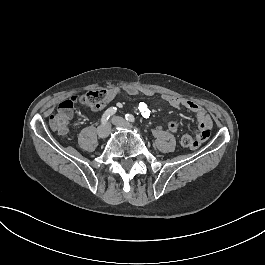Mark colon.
I'll use <instances>...</instances> for the list:
<instances>
[{
    "instance_id": "obj_1",
    "label": "colon",
    "mask_w": 265,
    "mask_h": 265,
    "mask_svg": "<svg viewBox=\"0 0 265 265\" xmlns=\"http://www.w3.org/2000/svg\"><path fill=\"white\" fill-rule=\"evenodd\" d=\"M110 99L111 95L107 90H89L78 97L72 94L62 103L59 110L51 116V127L57 129L62 136H65L67 134L65 128L67 118L65 113L71 111L77 101L90 111L95 112L103 109L109 103ZM192 140V136L184 135L181 138V144L186 148H191Z\"/></svg>"
}]
</instances>
